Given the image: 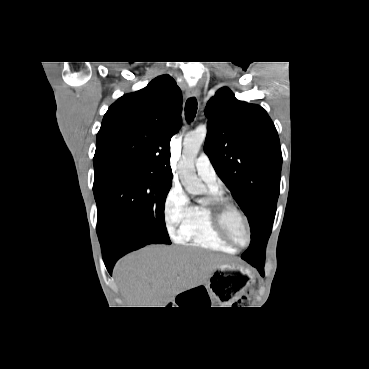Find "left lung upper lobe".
I'll list each match as a JSON object with an SVG mask.
<instances>
[{
  "label": "left lung upper lobe",
  "instance_id": "5c2ea615",
  "mask_svg": "<svg viewBox=\"0 0 369 369\" xmlns=\"http://www.w3.org/2000/svg\"><path fill=\"white\" fill-rule=\"evenodd\" d=\"M205 152L251 228L247 262H265L280 192L282 154L276 128L259 105L239 101L227 88L207 103Z\"/></svg>",
  "mask_w": 369,
  "mask_h": 369
}]
</instances>
